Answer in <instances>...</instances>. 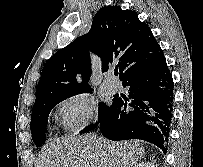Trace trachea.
Returning a JSON list of instances; mask_svg holds the SVG:
<instances>
[{"label": "trachea", "mask_w": 203, "mask_h": 167, "mask_svg": "<svg viewBox=\"0 0 203 167\" xmlns=\"http://www.w3.org/2000/svg\"><path fill=\"white\" fill-rule=\"evenodd\" d=\"M114 74H115V76H117V75H118V71H115V73H114Z\"/></svg>", "instance_id": "3493384b"}]
</instances>
